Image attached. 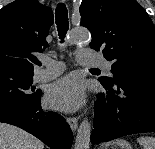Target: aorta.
<instances>
[{
	"instance_id": "aorta-1",
	"label": "aorta",
	"mask_w": 155,
	"mask_h": 149,
	"mask_svg": "<svg viewBox=\"0 0 155 149\" xmlns=\"http://www.w3.org/2000/svg\"><path fill=\"white\" fill-rule=\"evenodd\" d=\"M91 40V35L86 29H77L71 32L67 42L69 44H87ZM91 136V123L84 118L77 130L74 149H89Z\"/></svg>"
}]
</instances>
